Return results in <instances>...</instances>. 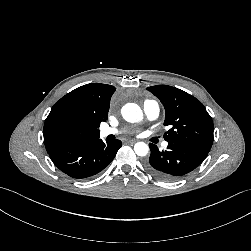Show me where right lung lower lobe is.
Wrapping results in <instances>:
<instances>
[{
    "label": "right lung lower lobe",
    "instance_id": "obj_1",
    "mask_svg": "<svg viewBox=\"0 0 251 251\" xmlns=\"http://www.w3.org/2000/svg\"><path fill=\"white\" fill-rule=\"evenodd\" d=\"M121 146L119 140L104 143L97 136L64 141L48 154L62 172L72 178L82 179L102 171Z\"/></svg>",
    "mask_w": 251,
    "mask_h": 251
}]
</instances>
